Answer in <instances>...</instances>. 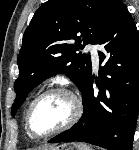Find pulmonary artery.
Returning a JSON list of instances; mask_svg holds the SVG:
<instances>
[{
    "label": "pulmonary artery",
    "mask_w": 139,
    "mask_h": 150,
    "mask_svg": "<svg viewBox=\"0 0 139 150\" xmlns=\"http://www.w3.org/2000/svg\"><path fill=\"white\" fill-rule=\"evenodd\" d=\"M86 51H88L91 55L92 62L95 68H97L99 63V55H98V47L95 44H88L86 46Z\"/></svg>",
    "instance_id": "obj_1"
}]
</instances>
